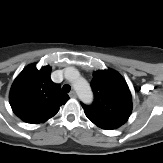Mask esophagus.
Returning a JSON list of instances; mask_svg holds the SVG:
<instances>
[{"label":"esophagus","mask_w":163,"mask_h":163,"mask_svg":"<svg viewBox=\"0 0 163 163\" xmlns=\"http://www.w3.org/2000/svg\"><path fill=\"white\" fill-rule=\"evenodd\" d=\"M69 96H70L71 98H76V97H77V94H76L75 91H71V92L69 93Z\"/></svg>","instance_id":"obj_1"}]
</instances>
